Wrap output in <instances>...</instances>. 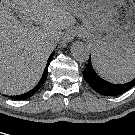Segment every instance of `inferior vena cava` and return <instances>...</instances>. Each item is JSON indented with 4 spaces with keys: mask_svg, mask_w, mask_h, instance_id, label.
<instances>
[{
    "mask_svg": "<svg viewBox=\"0 0 135 135\" xmlns=\"http://www.w3.org/2000/svg\"><path fill=\"white\" fill-rule=\"evenodd\" d=\"M54 41H56V38H54L51 42L53 43Z\"/></svg>",
    "mask_w": 135,
    "mask_h": 135,
    "instance_id": "inferior-vena-cava-1",
    "label": "inferior vena cava"
}]
</instances>
